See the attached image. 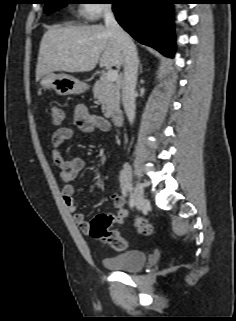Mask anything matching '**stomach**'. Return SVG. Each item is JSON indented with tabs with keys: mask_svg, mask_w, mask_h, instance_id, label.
<instances>
[{
	"mask_svg": "<svg viewBox=\"0 0 236 321\" xmlns=\"http://www.w3.org/2000/svg\"><path fill=\"white\" fill-rule=\"evenodd\" d=\"M40 85L44 89H53L57 94L66 96L71 94H79L87 90L86 83L78 79L66 75L48 73L40 78Z\"/></svg>",
	"mask_w": 236,
	"mask_h": 321,
	"instance_id": "obj_1",
	"label": "stomach"
}]
</instances>
